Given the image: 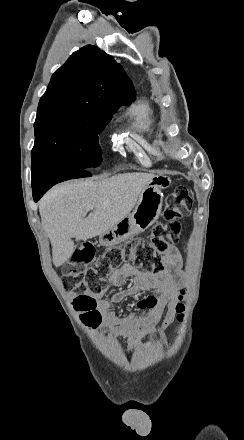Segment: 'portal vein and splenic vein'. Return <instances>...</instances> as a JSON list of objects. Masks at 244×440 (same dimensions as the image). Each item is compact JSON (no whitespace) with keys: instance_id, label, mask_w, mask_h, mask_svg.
<instances>
[{"instance_id":"18ae733b","label":"portal vein and splenic vein","mask_w":244,"mask_h":440,"mask_svg":"<svg viewBox=\"0 0 244 440\" xmlns=\"http://www.w3.org/2000/svg\"><path fill=\"white\" fill-rule=\"evenodd\" d=\"M88 210H94L93 206H88Z\"/></svg>"}]
</instances>
